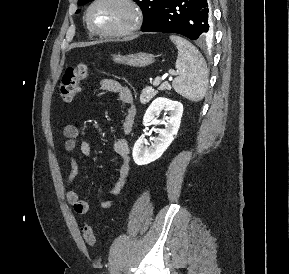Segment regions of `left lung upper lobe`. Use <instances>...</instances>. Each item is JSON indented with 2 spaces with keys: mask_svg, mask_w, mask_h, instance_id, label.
<instances>
[{
  "mask_svg": "<svg viewBox=\"0 0 289 274\" xmlns=\"http://www.w3.org/2000/svg\"><path fill=\"white\" fill-rule=\"evenodd\" d=\"M92 0H78V5L90 2ZM140 6L143 12V26L152 21L162 8L165 0H134ZM79 10L77 11V13Z\"/></svg>",
  "mask_w": 289,
  "mask_h": 274,
  "instance_id": "left-lung-upper-lobe-1",
  "label": "left lung upper lobe"
}]
</instances>
